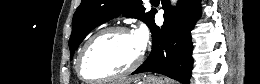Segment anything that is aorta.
Returning <instances> with one entry per match:
<instances>
[{
  "mask_svg": "<svg viewBox=\"0 0 260 84\" xmlns=\"http://www.w3.org/2000/svg\"><path fill=\"white\" fill-rule=\"evenodd\" d=\"M176 3V0H172V4H175Z\"/></svg>",
  "mask_w": 260,
  "mask_h": 84,
  "instance_id": "762f6f07",
  "label": "aorta"
}]
</instances>
